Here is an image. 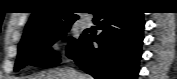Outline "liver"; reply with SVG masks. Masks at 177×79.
<instances>
[{
    "mask_svg": "<svg viewBox=\"0 0 177 79\" xmlns=\"http://www.w3.org/2000/svg\"><path fill=\"white\" fill-rule=\"evenodd\" d=\"M76 73L78 72L73 69L56 68L40 72L32 76H27L26 79H78L76 78ZM78 74L82 77L81 79H92V77L88 74Z\"/></svg>",
    "mask_w": 177,
    "mask_h": 79,
    "instance_id": "1",
    "label": "liver"
}]
</instances>
